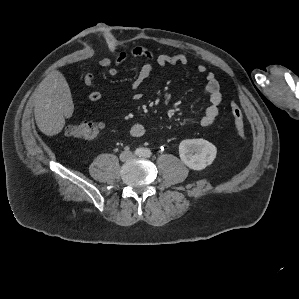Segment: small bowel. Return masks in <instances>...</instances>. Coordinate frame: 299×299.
I'll list each match as a JSON object with an SVG mask.
<instances>
[{
    "mask_svg": "<svg viewBox=\"0 0 299 299\" xmlns=\"http://www.w3.org/2000/svg\"><path fill=\"white\" fill-rule=\"evenodd\" d=\"M127 61L138 62L142 61L143 64L136 74L131 83L130 90L133 93V99L139 100L143 97V93L139 91L143 83L149 78L155 66L165 67L167 65H186L188 58L183 54L169 55L160 54L155 55L150 50L144 47H135L130 53L121 52L115 58L104 57L100 60L99 64L105 68L110 76H116L119 67ZM197 70L199 73L205 75V93L208 95L209 106L205 109L200 123L203 127L211 126L219 115V106L222 102V93L220 91L219 83L212 72H208L204 65H198ZM84 83L87 87L91 88L88 99L91 102H97L101 99L102 93L96 85L94 75L87 73L84 76ZM130 134L133 137L139 138L145 134V127L140 123L134 124L130 129Z\"/></svg>",
    "mask_w": 299,
    "mask_h": 299,
    "instance_id": "c3829d8e",
    "label": "small bowel"
}]
</instances>
